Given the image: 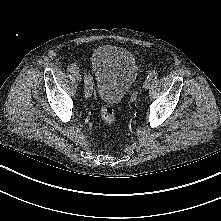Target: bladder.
<instances>
[{
	"instance_id": "obj_1",
	"label": "bladder",
	"mask_w": 221,
	"mask_h": 221,
	"mask_svg": "<svg viewBox=\"0 0 221 221\" xmlns=\"http://www.w3.org/2000/svg\"><path fill=\"white\" fill-rule=\"evenodd\" d=\"M91 66L96 94L108 106L124 99L138 75L134 56L127 49L114 45L97 48L92 54Z\"/></svg>"
}]
</instances>
